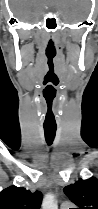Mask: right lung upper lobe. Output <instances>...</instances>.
<instances>
[{
  "mask_svg": "<svg viewBox=\"0 0 98 209\" xmlns=\"http://www.w3.org/2000/svg\"><path fill=\"white\" fill-rule=\"evenodd\" d=\"M40 191L30 192L25 188L10 186L0 192V209H40Z\"/></svg>",
  "mask_w": 98,
  "mask_h": 209,
  "instance_id": "right-lung-upper-lobe-1",
  "label": "right lung upper lobe"
}]
</instances>
